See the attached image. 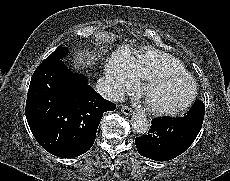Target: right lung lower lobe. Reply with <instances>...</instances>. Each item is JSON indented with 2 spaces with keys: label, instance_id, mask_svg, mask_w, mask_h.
<instances>
[{
  "label": "right lung lower lobe",
  "instance_id": "98d812e1",
  "mask_svg": "<svg viewBox=\"0 0 230 181\" xmlns=\"http://www.w3.org/2000/svg\"><path fill=\"white\" fill-rule=\"evenodd\" d=\"M115 108L84 76L71 73L58 59L35 70L25 113L32 134L46 151L74 158L92 147L103 113Z\"/></svg>",
  "mask_w": 230,
  "mask_h": 181
}]
</instances>
